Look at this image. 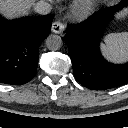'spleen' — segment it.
<instances>
[{
	"mask_svg": "<svg viewBox=\"0 0 128 128\" xmlns=\"http://www.w3.org/2000/svg\"><path fill=\"white\" fill-rule=\"evenodd\" d=\"M101 49L111 61L124 62L128 60V32L108 34L104 37Z\"/></svg>",
	"mask_w": 128,
	"mask_h": 128,
	"instance_id": "1",
	"label": "spleen"
}]
</instances>
